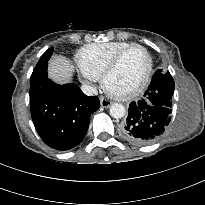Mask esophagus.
<instances>
[{
  "label": "esophagus",
  "instance_id": "34e87169",
  "mask_svg": "<svg viewBox=\"0 0 205 205\" xmlns=\"http://www.w3.org/2000/svg\"><path fill=\"white\" fill-rule=\"evenodd\" d=\"M100 104L103 108H107L111 105V101L105 99V98H101L100 99Z\"/></svg>",
  "mask_w": 205,
  "mask_h": 205
}]
</instances>
